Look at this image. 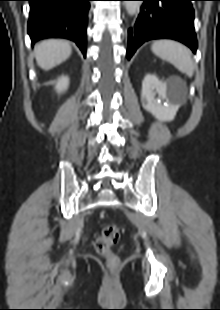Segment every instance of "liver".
<instances>
[{"instance_id": "liver-1", "label": "liver", "mask_w": 220, "mask_h": 310, "mask_svg": "<svg viewBox=\"0 0 220 310\" xmlns=\"http://www.w3.org/2000/svg\"><path fill=\"white\" fill-rule=\"evenodd\" d=\"M72 49L67 41L48 39L41 41L34 48L36 62L44 70H50L71 55Z\"/></svg>"}]
</instances>
